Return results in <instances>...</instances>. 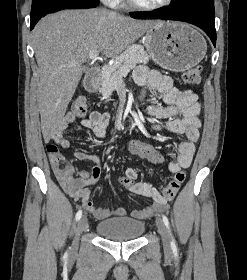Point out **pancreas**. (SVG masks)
I'll list each match as a JSON object with an SVG mask.
<instances>
[{"mask_svg": "<svg viewBox=\"0 0 247 280\" xmlns=\"http://www.w3.org/2000/svg\"><path fill=\"white\" fill-rule=\"evenodd\" d=\"M149 55L141 45L128 47L111 66H106L102 71V85L99 92L102 100L109 101V97L117 87L122 77L137 64L148 63Z\"/></svg>", "mask_w": 247, "mask_h": 280, "instance_id": "obj_1", "label": "pancreas"}]
</instances>
